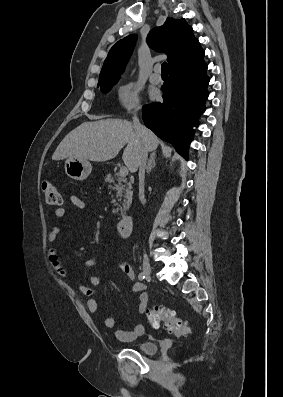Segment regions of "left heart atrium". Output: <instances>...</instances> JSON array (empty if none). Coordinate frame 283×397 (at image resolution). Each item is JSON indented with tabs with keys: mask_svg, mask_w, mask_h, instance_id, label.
<instances>
[{
	"mask_svg": "<svg viewBox=\"0 0 283 397\" xmlns=\"http://www.w3.org/2000/svg\"><path fill=\"white\" fill-rule=\"evenodd\" d=\"M153 98H157V94H154V95H153Z\"/></svg>",
	"mask_w": 283,
	"mask_h": 397,
	"instance_id": "1",
	"label": "left heart atrium"
}]
</instances>
